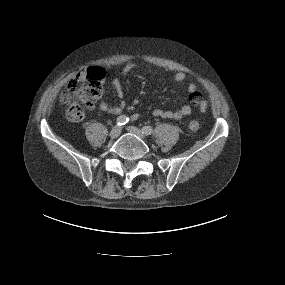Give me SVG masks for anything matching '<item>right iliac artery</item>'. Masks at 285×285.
Masks as SVG:
<instances>
[{
	"mask_svg": "<svg viewBox=\"0 0 285 285\" xmlns=\"http://www.w3.org/2000/svg\"><path fill=\"white\" fill-rule=\"evenodd\" d=\"M128 121H129V118L125 115L119 116L116 120L118 126L125 125L126 123H128Z\"/></svg>",
	"mask_w": 285,
	"mask_h": 285,
	"instance_id": "right-iliac-artery-1",
	"label": "right iliac artery"
}]
</instances>
